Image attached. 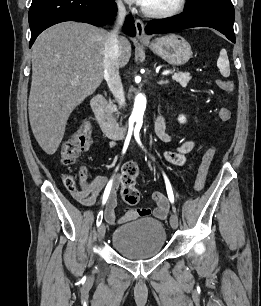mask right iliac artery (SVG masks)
Here are the masks:
<instances>
[{"label": "right iliac artery", "instance_id": "right-iliac-artery-1", "mask_svg": "<svg viewBox=\"0 0 261 306\" xmlns=\"http://www.w3.org/2000/svg\"><path fill=\"white\" fill-rule=\"evenodd\" d=\"M131 132H129V134L127 135V138L125 140V143H124V147H123V154L125 153L128 145H129V141H130V138H131ZM111 189V182L108 183L107 187H106V190L104 192V195H103V203L106 202L107 200V197H108V194H109V191ZM102 219H103V211H100L98 216H97V221H96V224L97 226H99L102 222Z\"/></svg>", "mask_w": 261, "mask_h": 306}]
</instances>
